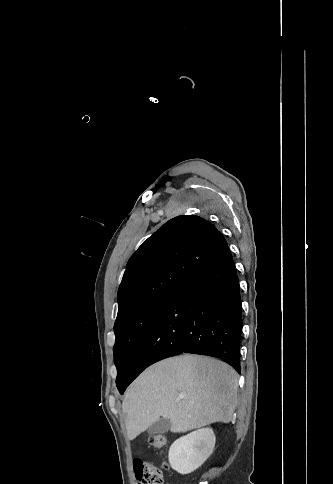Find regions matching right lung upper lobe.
<instances>
[{"label":"right lung upper lobe","mask_w":333,"mask_h":484,"mask_svg":"<svg viewBox=\"0 0 333 484\" xmlns=\"http://www.w3.org/2000/svg\"><path fill=\"white\" fill-rule=\"evenodd\" d=\"M229 251L207 220L183 215L165 223L131 256L118 290V315L157 294L178 290Z\"/></svg>","instance_id":"right-lung-upper-lobe-1"}]
</instances>
